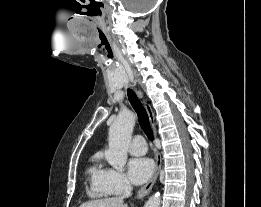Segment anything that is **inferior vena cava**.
Returning <instances> with one entry per match:
<instances>
[{"label":"inferior vena cava","instance_id":"obj_1","mask_svg":"<svg viewBox=\"0 0 261 207\" xmlns=\"http://www.w3.org/2000/svg\"><path fill=\"white\" fill-rule=\"evenodd\" d=\"M132 195V186L129 182L125 183L124 186V194L122 196V198H128Z\"/></svg>","mask_w":261,"mask_h":207}]
</instances>
